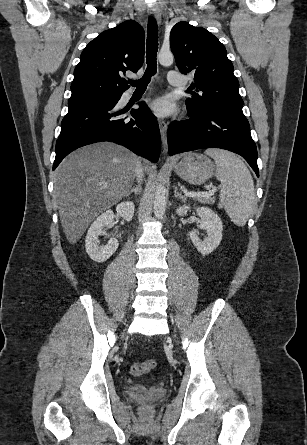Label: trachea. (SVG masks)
<instances>
[{
  "instance_id": "obj_1",
  "label": "trachea",
  "mask_w": 307,
  "mask_h": 445,
  "mask_svg": "<svg viewBox=\"0 0 307 445\" xmlns=\"http://www.w3.org/2000/svg\"><path fill=\"white\" fill-rule=\"evenodd\" d=\"M157 50H158V27L155 18L149 17L147 40H146V63L147 68L142 78L139 80H129L128 83L137 89H145L151 80L152 75L157 72Z\"/></svg>"
}]
</instances>
